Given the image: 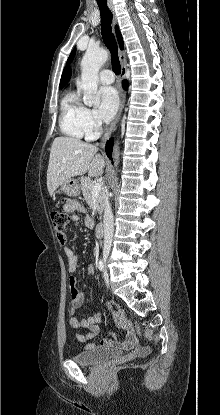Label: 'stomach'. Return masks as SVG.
I'll return each mask as SVG.
<instances>
[{"mask_svg":"<svg viewBox=\"0 0 220 415\" xmlns=\"http://www.w3.org/2000/svg\"><path fill=\"white\" fill-rule=\"evenodd\" d=\"M61 191L71 197H77L80 194V184L77 179L70 178L61 185Z\"/></svg>","mask_w":220,"mask_h":415,"instance_id":"1","label":"stomach"}]
</instances>
